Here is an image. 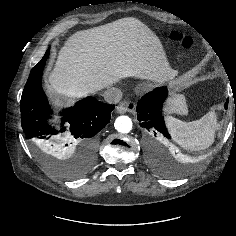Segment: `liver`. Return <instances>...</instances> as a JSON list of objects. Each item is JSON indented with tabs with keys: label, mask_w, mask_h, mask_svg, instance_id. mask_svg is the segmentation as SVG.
I'll return each instance as SVG.
<instances>
[{
	"label": "liver",
	"mask_w": 236,
	"mask_h": 236,
	"mask_svg": "<svg viewBox=\"0 0 236 236\" xmlns=\"http://www.w3.org/2000/svg\"><path fill=\"white\" fill-rule=\"evenodd\" d=\"M176 73L159 38L129 17L71 35L59 51L49 83L60 97L78 99L123 78L162 83ZM167 111L186 112L184 98L169 99Z\"/></svg>",
	"instance_id": "1"
}]
</instances>
